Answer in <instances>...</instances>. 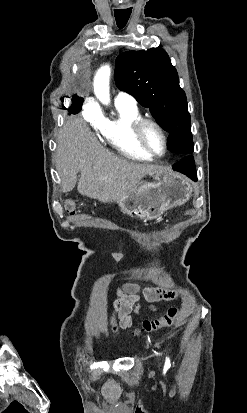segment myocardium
<instances>
[{
  "label": "myocardium",
  "instance_id": "f54148a6",
  "mask_svg": "<svg viewBox=\"0 0 247 413\" xmlns=\"http://www.w3.org/2000/svg\"><path fill=\"white\" fill-rule=\"evenodd\" d=\"M146 126H150L155 128L156 130L159 131V133L161 134L163 141H164V150L161 154H157L154 151H152L151 149H149L143 142L142 139V131L144 129V127ZM133 139L135 144L137 145V147L144 152L146 155H148L149 157L153 158V159H161L163 158L167 151H168V146H169V141H168V136L165 132V130L155 121L151 120V119H140L138 121V123L135 125L134 130H133Z\"/></svg>",
  "mask_w": 247,
  "mask_h": 413
}]
</instances>
